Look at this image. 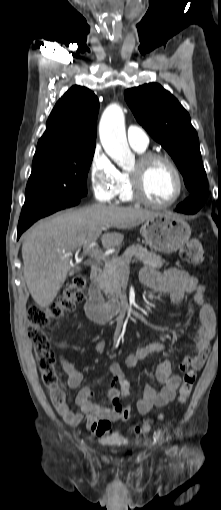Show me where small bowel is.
Here are the masks:
<instances>
[{
  "label": "small bowel",
  "mask_w": 221,
  "mask_h": 510,
  "mask_svg": "<svg viewBox=\"0 0 221 510\" xmlns=\"http://www.w3.org/2000/svg\"><path fill=\"white\" fill-rule=\"evenodd\" d=\"M141 282L156 291L170 292L174 303H178L186 293L193 295L195 303L199 307L198 326L193 337L192 353L184 358L179 366L181 372L200 370L209 354L210 341L215 334V314L211 305L205 300V286L195 276L187 271L178 268H167L163 271L153 267H145L140 272ZM105 349V342L99 341L95 350L102 353ZM166 347L162 342H152L138 348L129 354L124 361L127 368H134L139 361L146 357L165 351ZM59 362L63 372L67 375V386L71 389L78 388L83 382V375L74 365L62 354ZM112 380L106 389V396L113 398L120 394H128L130 384L126 379L123 368L115 363L111 366ZM155 380L161 384L157 390L152 383H147L143 395L136 402L137 412L141 415L148 414L153 407H163L171 402L176 395L180 385L181 377L172 373V366L169 361L159 363L154 371ZM76 403L79 412H74L65 403L64 407L57 409L64 421L77 426L85 416L86 428L93 436L106 437L109 435L111 423L122 419L118 407H105L94 398L92 388L82 387L76 396ZM130 413V408H127Z\"/></svg>",
  "instance_id": "small-bowel-1"
}]
</instances>
